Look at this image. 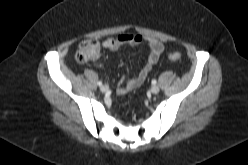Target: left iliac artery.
<instances>
[{
    "label": "left iliac artery",
    "instance_id": "left-iliac-artery-1",
    "mask_svg": "<svg viewBox=\"0 0 248 165\" xmlns=\"http://www.w3.org/2000/svg\"><path fill=\"white\" fill-rule=\"evenodd\" d=\"M157 81L155 79L152 80V84L155 85Z\"/></svg>",
    "mask_w": 248,
    "mask_h": 165
}]
</instances>
